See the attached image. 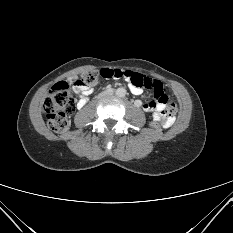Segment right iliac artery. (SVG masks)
Masks as SVG:
<instances>
[{
  "instance_id": "right-iliac-artery-1",
  "label": "right iliac artery",
  "mask_w": 233,
  "mask_h": 233,
  "mask_svg": "<svg viewBox=\"0 0 233 233\" xmlns=\"http://www.w3.org/2000/svg\"><path fill=\"white\" fill-rule=\"evenodd\" d=\"M135 104H136V106H139L140 105V101H136Z\"/></svg>"
}]
</instances>
